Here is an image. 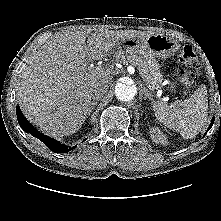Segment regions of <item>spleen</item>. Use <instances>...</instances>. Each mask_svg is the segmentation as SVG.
Wrapping results in <instances>:
<instances>
[{
  "mask_svg": "<svg viewBox=\"0 0 221 221\" xmlns=\"http://www.w3.org/2000/svg\"><path fill=\"white\" fill-rule=\"evenodd\" d=\"M156 118L170 129L180 132L183 138H194L207 122V90L200 86L191 98L178 106L163 102L153 105Z\"/></svg>",
  "mask_w": 221,
  "mask_h": 221,
  "instance_id": "obj_1",
  "label": "spleen"
}]
</instances>
